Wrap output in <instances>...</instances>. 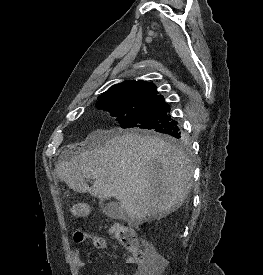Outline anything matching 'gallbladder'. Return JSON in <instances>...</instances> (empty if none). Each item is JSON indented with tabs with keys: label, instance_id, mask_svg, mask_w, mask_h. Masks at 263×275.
<instances>
[{
	"label": "gallbladder",
	"instance_id": "obj_1",
	"mask_svg": "<svg viewBox=\"0 0 263 275\" xmlns=\"http://www.w3.org/2000/svg\"><path fill=\"white\" fill-rule=\"evenodd\" d=\"M101 208L103 212L111 218L118 219L123 216V209L119 203L110 202L108 204H102Z\"/></svg>",
	"mask_w": 263,
	"mask_h": 275
}]
</instances>
